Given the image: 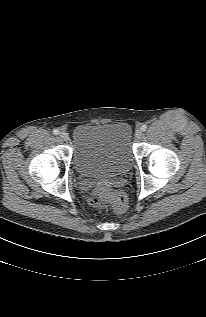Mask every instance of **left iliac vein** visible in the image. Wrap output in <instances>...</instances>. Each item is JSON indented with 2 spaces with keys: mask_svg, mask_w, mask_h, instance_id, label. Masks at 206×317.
Here are the masks:
<instances>
[{
  "mask_svg": "<svg viewBox=\"0 0 206 317\" xmlns=\"http://www.w3.org/2000/svg\"><path fill=\"white\" fill-rule=\"evenodd\" d=\"M135 137L137 139H140L142 137V130L141 129L136 130Z\"/></svg>",
  "mask_w": 206,
  "mask_h": 317,
  "instance_id": "4c4485c4",
  "label": "left iliac vein"
}]
</instances>
